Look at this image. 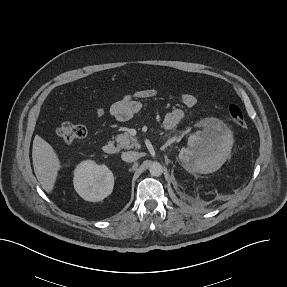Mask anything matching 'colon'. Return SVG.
<instances>
[{
  "label": "colon",
  "mask_w": 287,
  "mask_h": 287,
  "mask_svg": "<svg viewBox=\"0 0 287 287\" xmlns=\"http://www.w3.org/2000/svg\"><path fill=\"white\" fill-rule=\"evenodd\" d=\"M228 115L238 126L246 125L243 110L238 104L232 103L228 106ZM56 133L65 143L73 144L86 136L87 128L83 124L65 122L57 127Z\"/></svg>",
  "instance_id": "colon-1"
}]
</instances>
